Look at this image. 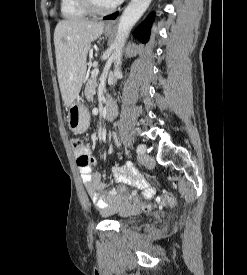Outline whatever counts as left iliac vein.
Instances as JSON below:
<instances>
[{
  "instance_id": "left-iliac-vein-1",
  "label": "left iliac vein",
  "mask_w": 247,
  "mask_h": 275,
  "mask_svg": "<svg viewBox=\"0 0 247 275\" xmlns=\"http://www.w3.org/2000/svg\"><path fill=\"white\" fill-rule=\"evenodd\" d=\"M138 161L147 168H153L155 166L154 158L146 155L145 151L138 153Z\"/></svg>"
}]
</instances>
